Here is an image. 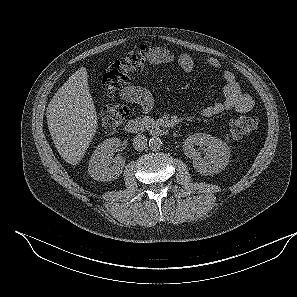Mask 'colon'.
<instances>
[{
	"label": "colon",
	"mask_w": 297,
	"mask_h": 297,
	"mask_svg": "<svg viewBox=\"0 0 297 297\" xmlns=\"http://www.w3.org/2000/svg\"><path fill=\"white\" fill-rule=\"evenodd\" d=\"M148 53L144 49L130 51L122 58L114 61L105 71L102 84L106 91L121 90L128 82L129 76L135 71L146 68ZM127 108L122 104L106 106L100 115L101 128L105 132L116 130L126 119ZM258 119L255 116H241L228 123L226 138L230 141H240L256 128Z\"/></svg>",
	"instance_id": "colon-1"
}]
</instances>
